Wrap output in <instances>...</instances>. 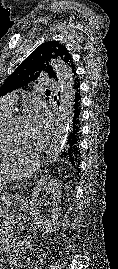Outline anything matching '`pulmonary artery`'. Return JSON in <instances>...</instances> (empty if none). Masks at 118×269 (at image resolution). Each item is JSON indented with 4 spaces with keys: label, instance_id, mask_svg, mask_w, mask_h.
Here are the masks:
<instances>
[{
    "label": "pulmonary artery",
    "instance_id": "obj_1",
    "mask_svg": "<svg viewBox=\"0 0 118 269\" xmlns=\"http://www.w3.org/2000/svg\"><path fill=\"white\" fill-rule=\"evenodd\" d=\"M42 85L46 88H49V89H54V88H57V86H58V84L51 79H44L42 81ZM15 97L16 96L14 94H10V95H7L5 97H2L0 99V105L5 107V108L12 109Z\"/></svg>",
    "mask_w": 118,
    "mask_h": 269
}]
</instances>
